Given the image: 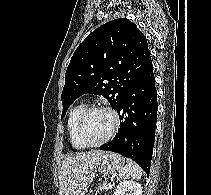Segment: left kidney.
<instances>
[{
  "label": "left kidney",
  "mask_w": 211,
  "mask_h": 195,
  "mask_svg": "<svg viewBox=\"0 0 211 195\" xmlns=\"http://www.w3.org/2000/svg\"><path fill=\"white\" fill-rule=\"evenodd\" d=\"M113 195H142V186L134 181H122L116 187Z\"/></svg>",
  "instance_id": "1"
}]
</instances>
